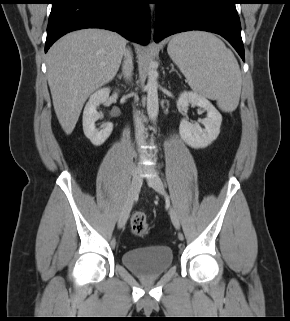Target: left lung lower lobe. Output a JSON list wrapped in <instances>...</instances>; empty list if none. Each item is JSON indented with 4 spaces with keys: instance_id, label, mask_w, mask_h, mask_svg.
Wrapping results in <instances>:
<instances>
[{
    "instance_id": "0a47b994",
    "label": "left lung lower lobe",
    "mask_w": 290,
    "mask_h": 321,
    "mask_svg": "<svg viewBox=\"0 0 290 321\" xmlns=\"http://www.w3.org/2000/svg\"><path fill=\"white\" fill-rule=\"evenodd\" d=\"M238 0H156L154 40L175 33L202 30L224 37L245 61Z\"/></svg>"
}]
</instances>
